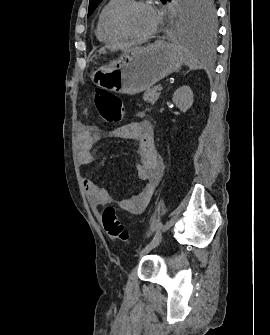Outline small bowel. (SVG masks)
<instances>
[{
    "mask_svg": "<svg viewBox=\"0 0 270 335\" xmlns=\"http://www.w3.org/2000/svg\"><path fill=\"white\" fill-rule=\"evenodd\" d=\"M77 134L80 144L79 160L82 164L89 165L93 162L92 148L97 142L98 128L89 124H80ZM118 136L137 143L140 160L135 168L138 177L146 182V186L140 193L118 200L117 206L129 214L138 215L148 207L155 187L162 177L163 165L154 147L152 125L147 120L140 119L121 126L118 129ZM82 181L89 203L94 210L113 202L108 191L92 179L84 177Z\"/></svg>",
    "mask_w": 270,
    "mask_h": 335,
    "instance_id": "obj_1",
    "label": "small bowel"
}]
</instances>
